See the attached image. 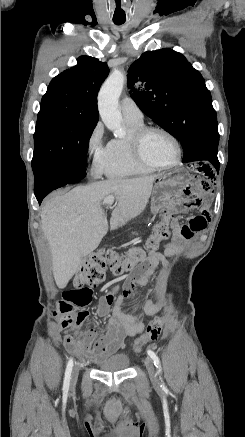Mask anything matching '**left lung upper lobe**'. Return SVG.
<instances>
[{
  "label": "left lung upper lobe",
  "mask_w": 245,
  "mask_h": 437,
  "mask_svg": "<svg viewBox=\"0 0 245 437\" xmlns=\"http://www.w3.org/2000/svg\"><path fill=\"white\" fill-rule=\"evenodd\" d=\"M127 84L138 107L182 143L183 162L213 164L219 143L216 111L202 75L182 54L168 48L143 53L131 64Z\"/></svg>",
  "instance_id": "5c2ea615"
}]
</instances>
